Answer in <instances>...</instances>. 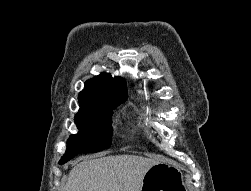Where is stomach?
Here are the masks:
<instances>
[{"mask_svg":"<svg viewBox=\"0 0 251 191\" xmlns=\"http://www.w3.org/2000/svg\"><path fill=\"white\" fill-rule=\"evenodd\" d=\"M183 173L168 163L158 161L144 175L141 191H185Z\"/></svg>","mask_w":251,"mask_h":191,"instance_id":"stomach-1","label":"stomach"}]
</instances>
